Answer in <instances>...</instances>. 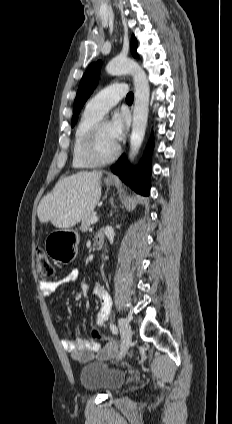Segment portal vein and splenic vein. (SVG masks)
<instances>
[{
    "label": "portal vein and splenic vein",
    "mask_w": 232,
    "mask_h": 424,
    "mask_svg": "<svg viewBox=\"0 0 232 424\" xmlns=\"http://www.w3.org/2000/svg\"><path fill=\"white\" fill-rule=\"evenodd\" d=\"M98 221V218L96 216L91 218V223H96Z\"/></svg>",
    "instance_id": "18ae733b"
}]
</instances>
